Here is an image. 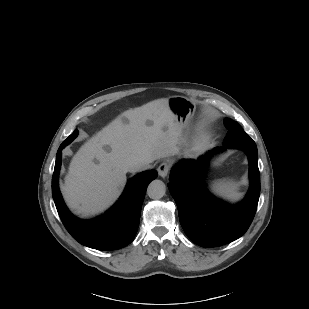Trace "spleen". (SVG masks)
<instances>
[{
    "mask_svg": "<svg viewBox=\"0 0 309 309\" xmlns=\"http://www.w3.org/2000/svg\"><path fill=\"white\" fill-rule=\"evenodd\" d=\"M211 191L224 199L236 201L241 197L237 184L231 181L218 180L211 185Z\"/></svg>",
    "mask_w": 309,
    "mask_h": 309,
    "instance_id": "spleen-1",
    "label": "spleen"
}]
</instances>
